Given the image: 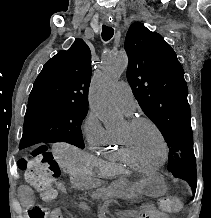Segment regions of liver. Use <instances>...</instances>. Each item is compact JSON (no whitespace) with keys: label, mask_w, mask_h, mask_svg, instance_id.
<instances>
[{"label":"liver","mask_w":211,"mask_h":218,"mask_svg":"<svg viewBox=\"0 0 211 218\" xmlns=\"http://www.w3.org/2000/svg\"><path fill=\"white\" fill-rule=\"evenodd\" d=\"M53 154H56L60 168L66 170L71 180L77 178V176H89V174H92L94 166H100L98 158L87 154V152H81V150H78L75 146H70V144H54ZM102 170L106 174H110V176L122 174V170L118 166H114V168L103 166Z\"/></svg>","instance_id":"6515ba94"}]
</instances>
